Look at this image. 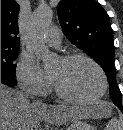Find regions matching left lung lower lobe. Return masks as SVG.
<instances>
[{
    "mask_svg": "<svg viewBox=\"0 0 123 130\" xmlns=\"http://www.w3.org/2000/svg\"><path fill=\"white\" fill-rule=\"evenodd\" d=\"M123 112V107H118Z\"/></svg>",
    "mask_w": 123,
    "mask_h": 130,
    "instance_id": "left-lung-lower-lobe-1",
    "label": "left lung lower lobe"
}]
</instances>
